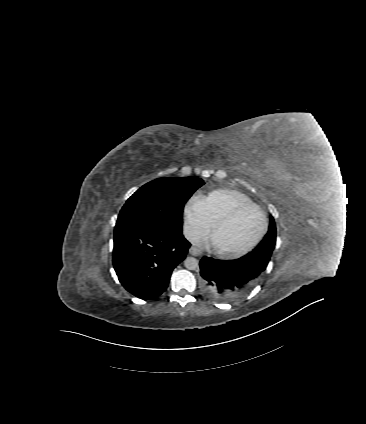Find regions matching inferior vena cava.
Here are the masks:
<instances>
[{"label": "inferior vena cava", "mask_w": 366, "mask_h": 424, "mask_svg": "<svg viewBox=\"0 0 366 424\" xmlns=\"http://www.w3.org/2000/svg\"><path fill=\"white\" fill-rule=\"evenodd\" d=\"M183 234H184L185 238L188 241H190L191 243H197V242H199V239H200L199 238V235H198L197 231L193 227H191L189 225L184 226V228H183Z\"/></svg>", "instance_id": "602c4592"}]
</instances>
